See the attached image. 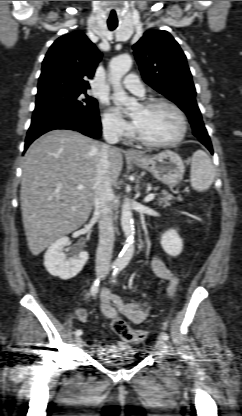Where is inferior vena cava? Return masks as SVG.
I'll use <instances>...</instances> for the list:
<instances>
[{"instance_id":"obj_1","label":"inferior vena cava","mask_w":242,"mask_h":416,"mask_svg":"<svg viewBox=\"0 0 242 416\" xmlns=\"http://www.w3.org/2000/svg\"><path fill=\"white\" fill-rule=\"evenodd\" d=\"M103 137L106 144L101 145L97 165L96 189L94 197V215L99 220V244L96 252V270L108 271L114 243L113 198L114 194L107 175L109 157L117 148L118 132L111 122L103 121Z\"/></svg>"}]
</instances>
